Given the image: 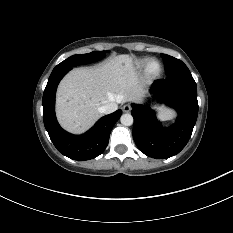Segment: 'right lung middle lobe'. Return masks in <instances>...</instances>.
Here are the masks:
<instances>
[{
  "instance_id": "right-lung-middle-lobe-1",
  "label": "right lung middle lobe",
  "mask_w": 233,
  "mask_h": 233,
  "mask_svg": "<svg viewBox=\"0 0 233 233\" xmlns=\"http://www.w3.org/2000/svg\"><path fill=\"white\" fill-rule=\"evenodd\" d=\"M106 55V51H93L88 54L73 55L60 64L54 69L69 68L78 65L88 64L102 59Z\"/></svg>"
}]
</instances>
